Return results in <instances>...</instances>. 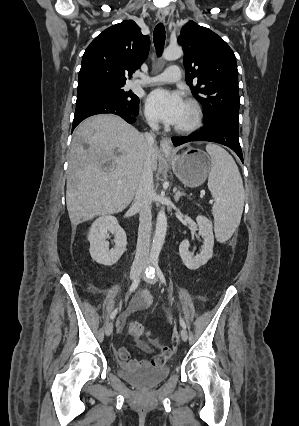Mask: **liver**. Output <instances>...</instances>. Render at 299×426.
I'll return each mask as SVG.
<instances>
[{
    "label": "liver",
    "instance_id": "1",
    "mask_svg": "<svg viewBox=\"0 0 299 426\" xmlns=\"http://www.w3.org/2000/svg\"><path fill=\"white\" fill-rule=\"evenodd\" d=\"M147 153L145 137L112 114L76 129L68 156L66 204L71 224L123 211L132 202ZM159 151L154 147L152 170Z\"/></svg>",
    "mask_w": 299,
    "mask_h": 426
}]
</instances>
